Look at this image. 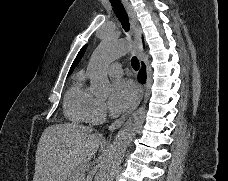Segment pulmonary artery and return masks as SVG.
Wrapping results in <instances>:
<instances>
[{"instance_id":"1","label":"pulmonary artery","mask_w":228,"mask_h":181,"mask_svg":"<svg viewBox=\"0 0 228 181\" xmlns=\"http://www.w3.org/2000/svg\"><path fill=\"white\" fill-rule=\"evenodd\" d=\"M108 69L113 72H121V65H109Z\"/></svg>"}]
</instances>
